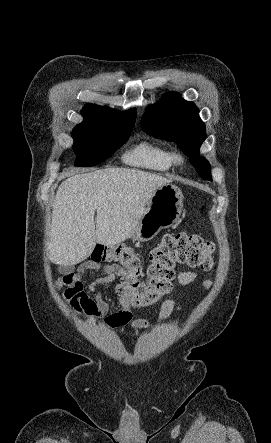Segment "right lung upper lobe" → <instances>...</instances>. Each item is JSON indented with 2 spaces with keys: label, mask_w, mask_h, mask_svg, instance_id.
<instances>
[{
  "label": "right lung upper lobe",
  "mask_w": 271,
  "mask_h": 443,
  "mask_svg": "<svg viewBox=\"0 0 271 443\" xmlns=\"http://www.w3.org/2000/svg\"><path fill=\"white\" fill-rule=\"evenodd\" d=\"M84 121L92 118H106V119H129L136 120V110L130 109L126 112H119L108 107H101L98 105H85L81 111Z\"/></svg>",
  "instance_id": "cb5924a9"
}]
</instances>
